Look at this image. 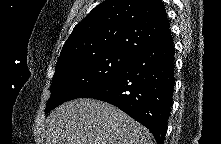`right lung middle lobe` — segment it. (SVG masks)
<instances>
[{"label": "right lung middle lobe", "instance_id": "obj_1", "mask_svg": "<svg viewBox=\"0 0 221 144\" xmlns=\"http://www.w3.org/2000/svg\"><path fill=\"white\" fill-rule=\"evenodd\" d=\"M134 57L123 51H107L56 67L51 96L45 112L80 98L86 92L111 79Z\"/></svg>", "mask_w": 221, "mask_h": 144}]
</instances>
